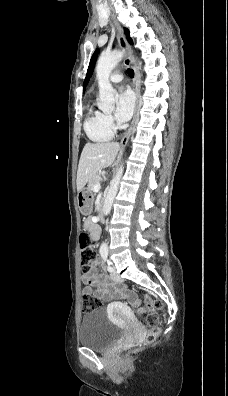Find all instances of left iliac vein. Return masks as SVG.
Listing matches in <instances>:
<instances>
[{
    "label": "left iliac vein",
    "instance_id": "left-iliac-vein-1",
    "mask_svg": "<svg viewBox=\"0 0 228 396\" xmlns=\"http://www.w3.org/2000/svg\"><path fill=\"white\" fill-rule=\"evenodd\" d=\"M113 270L111 271V278L116 282H122V278L116 273L115 267H112Z\"/></svg>",
    "mask_w": 228,
    "mask_h": 396
}]
</instances>
